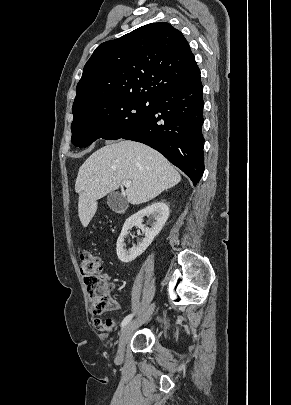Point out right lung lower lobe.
I'll use <instances>...</instances> for the list:
<instances>
[{"label":"right lung lower lobe","mask_w":291,"mask_h":405,"mask_svg":"<svg viewBox=\"0 0 291 405\" xmlns=\"http://www.w3.org/2000/svg\"><path fill=\"white\" fill-rule=\"evenodd\" d=\"M203 86L194 79L160 91L145 121L123 139L144 143L163 154L196 185L204 172Z\"/></svg>","instance_id":"1"}]
</instances>
